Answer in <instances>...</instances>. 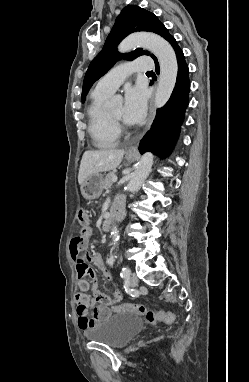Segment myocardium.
I'll return each mask as SVG.
<instances>
[{
    "mask_svg": "<svg viewBox=\"0 0 249 382\" xmlns=\"http://www.w3.org/2000/svg\"><path fill=\"white\" fill-rule=\"evenodd\" d=\"M108 116L118 131L123 130L125 128L121 120L114 118L109 112Z\"/></svg>",
    "mask_w": 249,
    "mask_h": 382,
    "instance_id": "obj_1",
    "label": "myocardium"
}]
</instances>
